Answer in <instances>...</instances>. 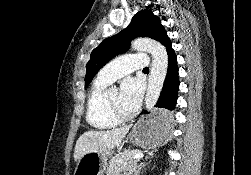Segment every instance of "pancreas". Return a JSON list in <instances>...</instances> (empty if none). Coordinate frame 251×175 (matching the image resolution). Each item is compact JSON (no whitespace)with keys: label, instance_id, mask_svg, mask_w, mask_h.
<instances>
[{"label":"pancreas","instance_id":"pancreas-1","mask_svg":"<svg viewBox=\"0 0 251 175\" xmlns=\"http://www.w3.org/2000/svg\"><path fill=\"white\" fill-rule=\"evenodd\" d=\"M135 153H139V151H137V149H125L119 157H113V159L109 161L106 175H129L128 171L131 173L137 161H139V157L133 159Z\"/></svg>","mask_w":251,"mask_h":175}]
</instances>
